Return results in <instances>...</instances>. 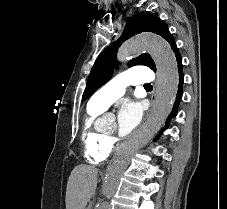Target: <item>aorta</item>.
<instances>
[{"mask_svg": "<svg viewBox=\"0 0 227 209\" xmlns=\"http://www.w3.org/2000/svg\"><path fill=\"white\" fill-rule=\"evenodd\" d=\"M147 51L155 62L158 73V95L154 112L138 137L124 144L116 152L109 164L103 184V201L98 209H110V199L115 194L121 176L136 151L150 140L165 123L170 114L178 88V70L170 45L161 37L153 34H142L125 42L118 51L117 58L124 62L129 57Z\"/></svg>", "mask_w": 227, "mask_h": 209, "instance_id": "762f6f07", "label": "aorta"}]
</instances>
